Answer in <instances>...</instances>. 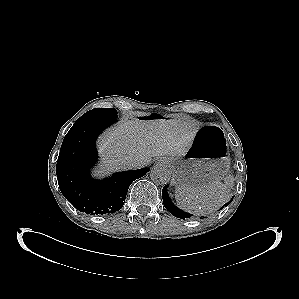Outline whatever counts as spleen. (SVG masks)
<instances>
[{
	"label": "spleen",
	"mask_w": 299,
	"mask_h": 299,
	"mask_svg": "<svg viewBox=\"0 0 299 299\" xmlns=\"http://www.w3.org/2000/svg\"><path fill=\"white\" fill-rule=\"evenodd\" d=\"M233 184L234 178L229 175L225 183L216 181L203 188L178 186L175 191L176 203L189 213L203 215L218 209L229 200Z\"/></svg>",
	"instance_id": "obj_1"
}]
</instances>
